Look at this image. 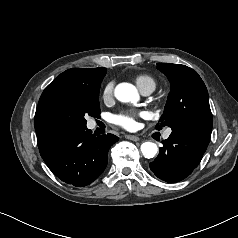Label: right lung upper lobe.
Returning a JSON list of instances; mask_svg holds the SVG:
<instances>
[{
    "instance_id": "cb5924a9",
    "label": "right lung upper lobe",
    "mask_w": 238,
    "mask_h": 238,
    "mask_svg": "<svg viewBox=\"0 0 238 238\" xmlns=\"http://www.w3.org/2000/svg\"><path fill=\"white\" fill-rule=\"evenodd\" d=\"M95 68H72L61 73L43 91L35 114V130L42 139L64 128V91L73 85L95 83Z\"/></svg>"
}]
</instances>
